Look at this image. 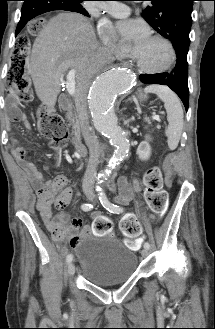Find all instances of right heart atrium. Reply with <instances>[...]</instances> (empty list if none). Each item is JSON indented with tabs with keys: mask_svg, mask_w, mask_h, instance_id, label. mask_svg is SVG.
<instances>
[{
	"mask_svg": "<svg viewBox=\"0 0 215 329\" xmlns=\"http://www.w3.org/2000/svg\"><path fill=\"white\" fill-rule=\"evenodd\" d=\"M98 32L102 41L107 46L113 48L117 56L123 55V51L120 49L114 31L109 23L101 22L98 26Z\"/></svg>",
	"mask_w": 215,
	"mask_h": 329,
	"instance_id": "d8ad5b80",
	"label": "right heart atrium"
}]
</instances>
